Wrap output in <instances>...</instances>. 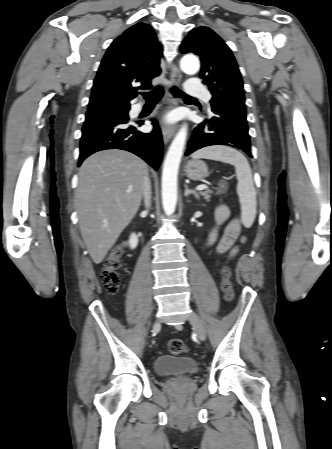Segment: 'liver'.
Returning a JSON list of instances; mask_svg holds the SVG:
<instances>
[{
  "instance_id": "1",
  "label": "liver",
  "mask_w": 332,
  "mask_h": 449,
  "mask_svg": "<svg viewBox=\"0 0 332 449\" xmlns=\"http://www.w3.org/2000/svg\"><path fill=\"white\" fill-rule=\"evenodd\" d=\"M147 171L142 159L117 149L97 152L82 163L75 205L83 241L95 264L103 261L136 215Z\"/></svg>"
}]
</instances>
